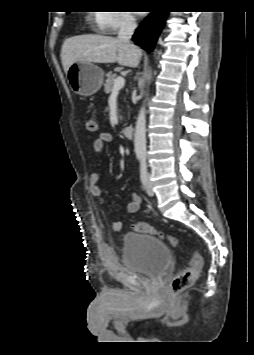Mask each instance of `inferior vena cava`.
Listing matches in <instances>:
<instances>
[{"instance_id": "obj_1", "label": "inferior vena cava", "mask_w": 254, "mask_h": 355, "mask_svg": "<svg viewBox=\"0 0 254 355\" xmlns=\"http://www.w3.org/2000/svg\"><path fill=\"white\" fill-rule=\"evenodd\" d=\"M135 29H136L135 21L128 16H124L121 19L120 29L118 32V39L127 44H131L130 39Z\"/></svg>"}]
</instances>
